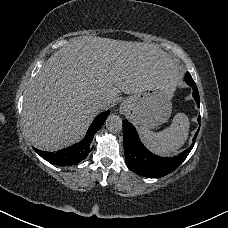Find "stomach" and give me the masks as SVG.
<instances>
[{"label":"stomach","mask_w":228,"mask_h":228,"mask_svg":"<svg viewBox=\"0 0 228 228\" xmlns=\"http://www.w3.org/2000/svg\"><path fill=\"white\" fill-rule=\"evenodd\" d=\"M171 98L172 94L163 87H149L127 97L120 106V113L145 128L154 129L168 120Z\"/></svg>","instance_id":"1"}]
</instances>
